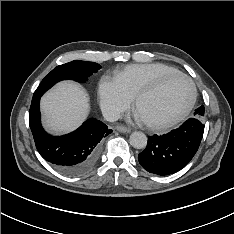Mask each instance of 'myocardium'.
Segmentation results:
<instances>
[{"label": "myocardium", "instance_id": "1", "mask_svg": "<svg viewBox=\"0 0 234 234\" xmlns=\"http://www.w3.org/2000/svg\"><path fill=\"white\" fill-rule=\"evenodd\" d=\"M174 77H180L185 79L191 86V90H192V94H191V98L189 103L187 104V106L184 108V110L179 113L177 116L164 120V121H160V122H147L144 121L145 124L147 125V127H149L152 130H165L168 128H171L177 124H179L181 121H183L188 114L191 112V110L193 109L196 100H197V88L196 85L194 83V81L185 73L183 72H172V73H168L165 75H162L161 77H159L158 79H156L155 81H153L152 83H150L149 85L145 86L144 88H142L141 90H139L137 92V94L134 97V107L137 110L139 102L146 97L147 95L155 92L156 90H158L165 82H167L169 79L174 78Z\"/></svg>", "mask_w": 234, "mask_h": 234}]
</instances>
